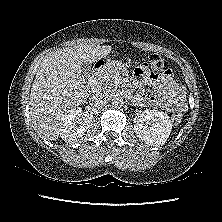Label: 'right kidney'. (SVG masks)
I'll use <instances>...</instances> for the list:
<instances>
[{"mask_svg":"<svg viewBox=\"0 0 222 222\" xmlns=\"http://www.w3.org/2000/svg\"><path fill=\"white\" fill-rule=\"evenodd\" d=\"M93 119V115L82 112L81 108H76L63 119L60 128V136L65 142H73L82 137L88 130Z\"/></svg>","mask_w":222,"mask_h":222,"instance_id":"obj_1","label":"right kidney"}]
</instances>
